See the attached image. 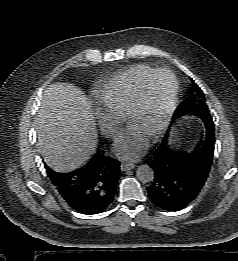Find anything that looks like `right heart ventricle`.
Listing matches in <instances>:
<instances>
[{"label":"right heart ventricle","mask_w":238,"mask_h":261,"mask_svg":"<svg viewBox=\"0 0 238 261\" xmlns=\"http://www.w3.org/2000/svg\"><path fill=\"white\" fill-rule=\"evenodd\" d=\"M154 71L147 65H135L121 72L96 92L102 108L120 116H127L142 80Z\"/></svg>","instance_id":"obj_1"}]
</instances>
